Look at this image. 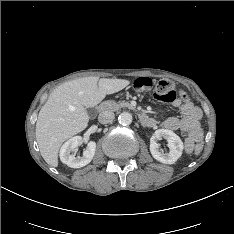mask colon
Here are the masks:
<instances>
[{
    "instance_id": "colon-1",
    "label": "colon",
    "mask_w": 234,
    "mask_h": 234,
    "mask_svg": "<svg viewBox=\"0 0 234 234\" xmlns=\"http://www.w3.org/2000/svg\"><path fill=\"white\" fill-rule=\"evenodd\" d=\"M152 87V80L148 77H140L134 82V88L138 91H146ZM179 95L181 99L187 100V95L183 91L177 92L173 83L169 80L159 81L154 89V96L160 101H171ZM196 153L200 152L202 149L201 144L196 143L190 146Z\"/></svg>"
}]
</instances>
